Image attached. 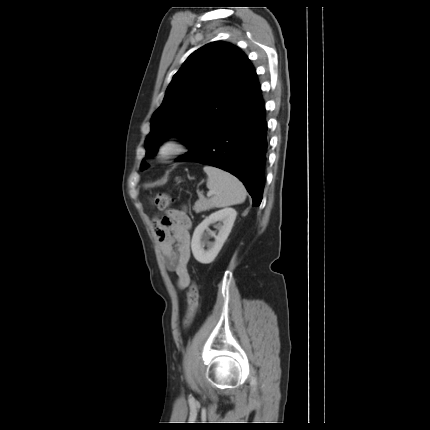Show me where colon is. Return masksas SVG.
Here are the masks:
<instances>
[{
  "label": "colon",
  "mask_w": 430,
  "mask_h": 430,
  "mask_svg": "<svg viewBox=\"0 0 430 430\" xmlns=\"http://www.w3.org/2000/svg\"><path fill=\"white\" fill-rule=\"evenodd\" d=\"M152 202L158 208V210L165 211L171 206L173 199L167 193H158L153 196ZM198 309H199L198 287L195 282H191L187 293L186 313L183 319V326L185 328H188L191 325L195 315L198 312Z\"/></svg>",
  "instance_id": "5ec220e1"
}]
</instances>
